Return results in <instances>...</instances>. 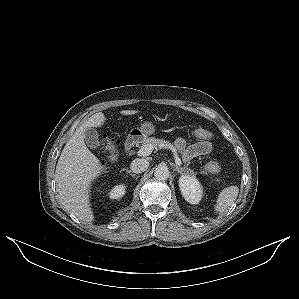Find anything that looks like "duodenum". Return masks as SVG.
Wrapping results in <instances>:
<instances>
[{
  "instance_id": "duodenum-1",
  "label": "duodenum",
  "mask_w": 299,
  "mask_h": 299,
  "mask_svg": "<svg viewBox=\"0 0 299 299\" xmlns=\"http://www.w3.org/2000/svg\"><path fill=\"white\" fill-rule=\"evenodd\" d=\"M135 145V139L133 137H129L125 143V150L130 152Z\"/></svg>"
}]
</instances>
